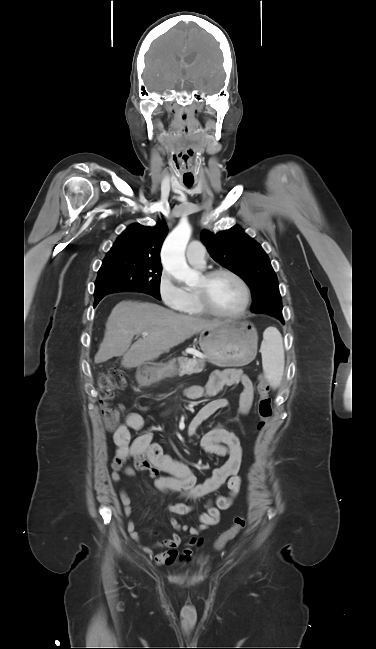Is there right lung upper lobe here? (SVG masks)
I'll return each instance as SVG.
<instances>
[{
  "label": "right lung upper lobe",
  "instance_id": "obj_1",
  "mask_svg": "<svg viewBox=\"0 0 376 649\" xmlns=\"http://www.w3.org/2000/svg\"><path fill=\"white\" fill-rule=\"evenodd\" d=\"M167 231L164 222H159L154 227L132 224L117 238L106 256L127 254L160 262V250Z\"/></svg>",
  "mask_w": 376,
  "mask_h": 649
}]
</instances>
